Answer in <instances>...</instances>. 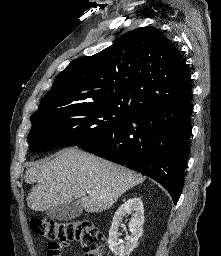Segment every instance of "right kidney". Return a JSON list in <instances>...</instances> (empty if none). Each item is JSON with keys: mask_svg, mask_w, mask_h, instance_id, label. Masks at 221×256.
<instances>
[{"mask_svg": "<svg viewBox=\"0 0 221 256\" xmlns=\"http://www.w3.org/2000/svg\"><path fill=\"white\" fill-rule=\"evenodd\" d=\"M126 214H132L129 222L131 235L126 236V243L123 245L118 239V229ZM143 223L144 208L140 198H130L118 208L113 217L108 238L109 248L115 256H129V254L136 248L137 241L143 233Z\"/></svg>", "mask_w": 221, "mask_h": 256, "instance_id": "1", "label": "right kidney"}]
</instances>
